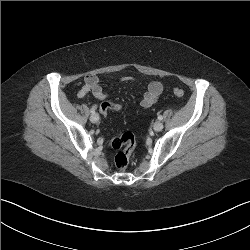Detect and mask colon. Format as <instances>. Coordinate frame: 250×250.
I'll return each instance as SVG.
<instances>
[{"instance_id": "1", "label": "colon", "mask_w": 250, "mask_h": 250, "mask_svg": "<svg viewBox=\"0 0 250 250\" xmlns=\"http://www.w3.org/2000/svg\"><path fill=\"white\" fill-rule=\"evenodd\" d=\"M174 94L178 98H182L184 96V91L181 88L176 87L174 88ZM109 109L119 113L123 108L115 102H103L101 105V112L103 116L107 115ZM106 147L119 150L114 158V164L118 170H123L127 167L130 157L135 150L136 138L132 132H124L112 140H108L106 142Z\"/></svg>"}]
</instances>
